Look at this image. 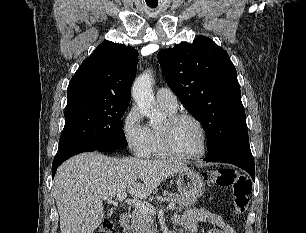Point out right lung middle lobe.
Masks as SVG:
<instances>
[{
    "label": "right lung middle lobe",
    "instance_id": "1",
    "mask_svg": "<svg viewBox=\"0 0 306 233\" xmlns=\"http://www.w3.org/2000/svg\"><path fill=\"white\" fill-rule=\"evenodd\" d=\"M128 103L78 100L67 103L55 157L81 147H126L121 117Z\"/></svg>",
    "mask_w": 306,
    "mask_h": 233
}]
</instances>
